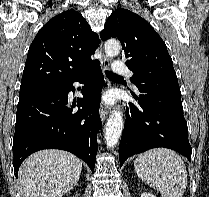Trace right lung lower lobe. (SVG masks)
<instances>
[{"label":"right lung lower lobe","instance_id":"1","mask_svg":"<svg viewBox=\"0 0 209 197\" xmlns=\"http://www.w3.org/2000/svg\"><path fill=\"white\" fill-rule=\"evenodd\" d=\"M86 83L83 98L68 107L73 83ZM104 77L99 62L57 89L19 99L13 138L14 173L21 163L42 149H62L95 168L97 133L102 126L99 116L100 92ZM77 103L78 108H74Z\"/></svg>","mask_w":209,"mask_h":197}]
</instances>
